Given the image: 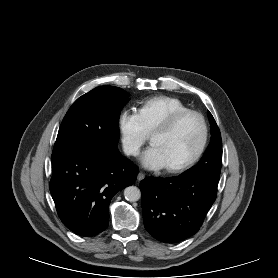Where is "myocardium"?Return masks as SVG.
<instances>
[{
  "instance_id": "myocardium-1",
  "label": "myocardium",
  "mask_w": 278,
  "mask_h": 278,
  "mask_svg": "<svg viewBox=\"0 0 278 278\" xmlns=\"http://www.w3.org/2000/svg\"><path fill=\"white\" fill-rule=\"evenodd\" d=\"M190 116L197 118L201 124L202 136H201L200 144H199L197 150L195 151V153L191 157L186 159L185 161H183L179 164H176V165L166 166L165 167L166 170L170 173L182 172V171L190 168L191 166H193L201 158V156L203 155V153L206 149L208 139H209V128H208L207 121L200 112H197L194 110H186V111H182V112L174 114L169 119L164 121L162 124H160L156 128H154V130L151 132V139L155 134L170 132L183 119H185L186 117H190Z\"/></svg>"
}]
</instances>
